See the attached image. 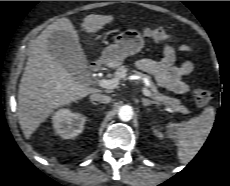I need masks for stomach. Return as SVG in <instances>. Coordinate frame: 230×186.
I'll list each match as a JSON object with an SVG mask.
<instances>
[{"label": "stomach", "mask_w": 230, "mask_h": 186, "mask_svg": "<svg viewBox=\"0 0 230 186\" xmlns=\"http://www.w3.org/2000/svg\"><path fill=\"white\" fill-rule=\"evenodd\" d=\"M143 46L141 33L136 29H127L115 38L114 44L104 48L100 62L110 68H116L126 57L140 52Z\"/></svg>", "instance_id": "stomach-1"}]
</instances>
